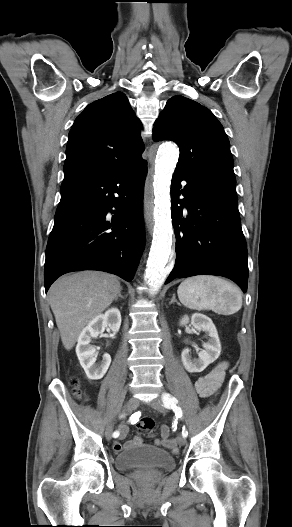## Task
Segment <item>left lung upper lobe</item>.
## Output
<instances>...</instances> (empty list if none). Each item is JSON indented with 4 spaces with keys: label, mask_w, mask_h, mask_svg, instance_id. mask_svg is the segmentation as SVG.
Returning <instances> with one entry per match:
<instances>
[{
    "label": "left lung upper lobe",
    "mask_w": 292,
    "mask_h": 527,
    "mask_svg": "<svg viewBox=\"0 0 292 527\" xmlns=\"http://www.w3.org/2000/svg\"><path fill=\"white\" fill-rule=\"evenodd\" d=\"M153 140H172L180 148L175 172L235 188L230 143L221 123L206 107L183 97L170 98L153 128Z\"/></svg>",
    "instance_id": "obj_1"
}]
</instances>
